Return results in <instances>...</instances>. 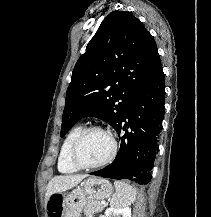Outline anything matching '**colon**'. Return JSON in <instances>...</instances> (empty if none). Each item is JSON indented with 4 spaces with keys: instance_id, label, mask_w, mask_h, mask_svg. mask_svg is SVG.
<instances>
[{
    "instance_id": "1",
    "label": "colon",
    "mask_w": 211,
    "mask_h": 217,
    "mask_svg": "<svg viewBox=\"0 0 211 217\" xmlns=\"http://www.w3.org/2000/svg\"><path fill=\"white\" fill-rule=\"evenodd\" d=\"M61 199L54 196L49 203L50 217H61Z\"/></svg>"
}]
</instances>
